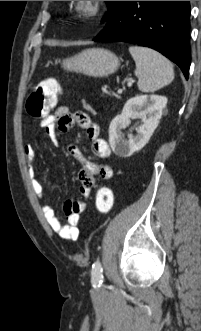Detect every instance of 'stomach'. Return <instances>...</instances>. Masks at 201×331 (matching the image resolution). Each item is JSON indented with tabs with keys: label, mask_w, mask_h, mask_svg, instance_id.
<instances>
[{
	"label": "stomach",
	"mask_w": 201,
	"mask_h": 331,
	"mask_svg": "<svg viewBox=\"0 0 201 331\" xmlns=\"http://www.w3.org/2000/svg\"><path fill=\"white\" fill-rule=\"evenodd\" d=\"M118 57L103 48H89L79 54L63 60L62 66L68 71L88 76L105 77L113 74L119 67Z\"/></svg>",
	"instance_id": "stomach-1"
}]
</instances>
